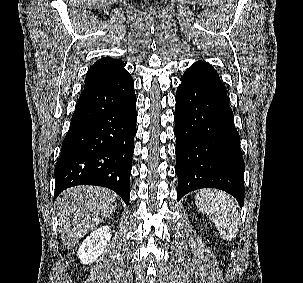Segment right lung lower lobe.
<instances>
[{"label": "right lung lower lobe", "instance_id": "98d812e1", "mask_svg": "<svg viewBox=\"0 0 303 283\" xmlns=\"http://www.w3.org/2000/svg\"><path fill=\"white\" fill-rule=\"evenodd\" d=\"M136 119L128 72L83 90L55 166V197L72 186L97 185L112 189L128 205Z\"/></svg>", "mask_w": 303, "mask_h": 283}]
</instances>
